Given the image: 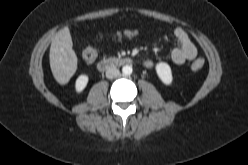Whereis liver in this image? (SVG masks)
<instances>
[{"label": "liver", "mask_w": 248, "mask_h": 165, "mask_svg": "<svg viewBox=\"0 0 248 165\" xmlns=\"http://www.w3.org/2000/svg\"><path fill=\"white\" fill-rule=\"evenodd\" d=\"M72 47L70 30L66 26L52 39L49 53L51 71L59 84L68 83L77 70V56Z\"/></svg>", "instance_id": "obj_1"}]
</instances>
